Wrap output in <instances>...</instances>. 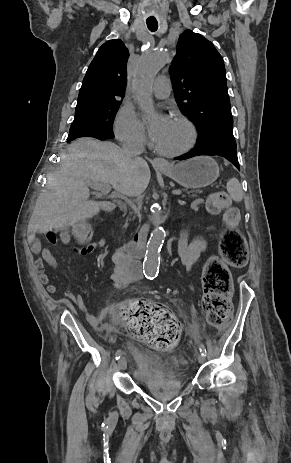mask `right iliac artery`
Returning <instances> with one entry per match:
<instances>
[{"instance_id": "obj_1", "label": "right iliac artery", "mask_w": 291, "mask_h": 463, "mask_svg": "<svg viewBox=\"0 0 291 463\" xmlns=\"http://www.w3.org/2000/svg\"><path fill=\"white\" fill-rule=\"evenodd\" d=\"M121 355H122V351H121V350H117V351H116V354H115V359H116V360H119L120 357H121Z\"/></svg>"}]
</instances>
